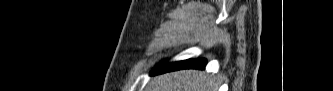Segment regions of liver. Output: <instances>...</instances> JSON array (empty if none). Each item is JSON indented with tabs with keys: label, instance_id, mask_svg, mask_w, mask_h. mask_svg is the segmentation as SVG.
Returning <instances> with one entry per match:
<instances>
[{
	"label": "liver",
	"instance_id": "obj_1",
	"mask_svg": "<svg viewBox=\"0 0 333 91\" xmlns=\"http://www.w3.org/2000/svg\"><path fill=\"white\" fill-rule=\"evenodd\" d=\"M214 78L202 71L183 70L160 75L151 80L148 91H217Z\"/></svg>",
	"mask_w": 333,
	"mask_h": 91
}]
</instances>
